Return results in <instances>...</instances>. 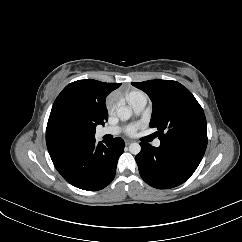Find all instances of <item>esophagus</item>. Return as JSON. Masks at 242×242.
<instances>
[{"instance_id": "34e87169", "label": "esophagus", "mask_w": 242, "mask_h": 242, "mask_svg": "<svg viewBox=\"0 0 242 242\" xmlns=\"http://www.w3.org/2000/svg\"><path fill=\"white\" fill-rule=\"evenodd\" d=\"M124 142H125V145H130L133 141L129 139H125Z\"/></svg>"}]
</instances>
